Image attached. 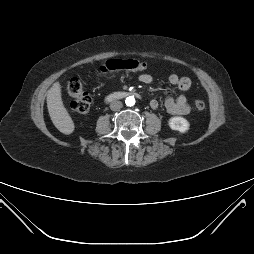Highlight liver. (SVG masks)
<instances>
[{
  "label": "liver",
  "instance_id": "obj_1",
  "mask_svg": "<svg viewBox=\"0 0 254 254\" xmlns=\"http://www.w3.org/2000/svg\"><path fill=\"white\" fill-rule=\"evenodd\" d=\"M47 108L54 126L63 134L69 135L75 125L62 100L61 85L55 82L47 94Z\"/></svg>",
  "mask_w": 254,
  "mask_h": 254
}]
</instances>
